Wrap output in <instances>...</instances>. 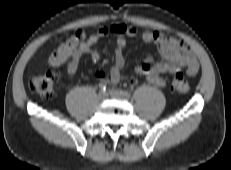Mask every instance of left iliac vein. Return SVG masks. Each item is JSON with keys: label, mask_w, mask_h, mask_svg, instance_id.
Listing matches in <instances>:
<instances>
[{"label": "left iliac vein", "mask_w": 231, "mask_h": 170, "mask_svg": "<svg viewBox=\"0 0 231 170\" xmlns=\"http://www.w3.org/2000/svg\"><path fill=\"white\" fill-rule=\"evenodd\" d=\"M109 95L113 98H122L124 97L122 94H121V91L117 90V89H110L109 90Z\"/></svg>", "instance_id": "obj_1"}]
</instances>
